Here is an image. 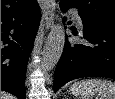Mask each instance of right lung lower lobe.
I'll list each match as a JSON object with an SVG mask.
<instances>
[{
	"instance_id": "98d812e1",
	"label": "right lung lower lobe",
	"mask_w": 115,
	"mask_h": 99,
	"mask_svg": "<svg viewBox=\"0 0 115 99\" xmlns=\"http://www.w3.org/2000/svg\"><path fill=\"white\" fill-rule=\"evenodd\" d=\"M40 19L36 0L1 15V90L19 99H25L26 68Z\"/></svg>"
}]
</instances>
